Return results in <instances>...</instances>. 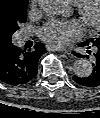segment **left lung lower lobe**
Wrapping results in <instances>:
<instances>
[{
	"instance_id": "left-lung-lower-lobe-1",
	"label": "left lung lower lobe",
	"mask_w": 100,
	"mask_h": 118,
	"mask_svg": "<svg viewBox=\"0 0 100 118\" xmlns=\"http://www.w3.org/2000/svg\"><path fill=\"white\" fill-rule=\"evenodd\" d=\"M79 47H87V53L91 55V50L93 49L94 53L92 54V73L88 77H78L73 76V80L86 87H97L100 86V39L94 41H85L79 44ZM77 57H86L89 58V55H81L74 53Z\"/></svg>"
}]
</instances>
